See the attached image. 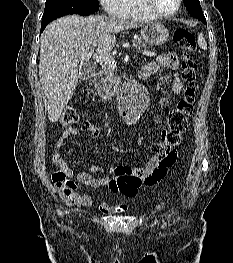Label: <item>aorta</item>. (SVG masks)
Returning <instances> with one entry per match:
<instances>
[{"label":"aorta","mask_w":233,"mask_h":263,"mask_svg":"<svg viewBox=\"0 0 233 263\" xmlns=\"http://www.w3.org/2000/svg\"><path fill=\"white\" fill-rule=\"evenodd\" d=\"M147 104V90L135 80H127L122 86L119 105L125 118L136 121L144 112Z\"/></svg>","instance_id":"obj_1"}]
</instances>
